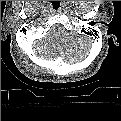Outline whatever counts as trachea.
Segmentation results:
<instances>
[{"label":"trachea","mask_w":121,"mask_h":121,"mask_svg":"<svg viewBox=\"0 0 121 121\" xmlns=\"http://www.w3.org/2000/svg\"><path fill=\"white\" fill-rule=\"evenodd\" d=\"M54 9H58L60 7V4L57 1H54V3L52 4Z\"/></svg>","instance_id":"1"}]
</instances>
